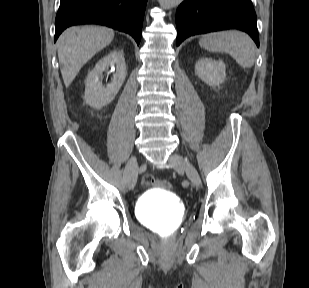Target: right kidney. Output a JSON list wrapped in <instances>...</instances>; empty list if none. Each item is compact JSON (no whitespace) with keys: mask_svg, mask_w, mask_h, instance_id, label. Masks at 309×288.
Returning a JSON list of instances; mask_svg holds the SVG:
<instances>
[{"mask_svg":"<svg viewBox=\"0 0 309 288\" xmlns=\"http://www.w3.org/2000/svg\"><path fill=\"white\" fill-rule=\"evenodd\" d=\"M116 71L110 84L103 86L100 81L102 73L108 67H114ZM127 75L125 58L121 51L114 50L99 60L94 69L88 73L85 85V102L94 109H101L113 101L119 92Z\"/></svg>","mask_w":309,"mask_h":288,"instance_id":"ca27d5eb","label":"right kidney"}]
</instances>
